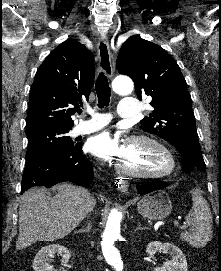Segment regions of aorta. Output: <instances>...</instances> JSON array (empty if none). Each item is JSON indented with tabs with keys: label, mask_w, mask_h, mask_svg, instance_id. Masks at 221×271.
<instances>
[{
	"label": "aorta",
	"mask_w": 221,
	"mask_h": 271,
	"mask_svg": "<svg viewBox=\"0 0 221 271\" xmlns=\"http://www.w3.org/2000/svg\"><path fill=\"white\" fill-rule=\"evenodd\" d=\"M113 90L120 95H128L133 91L134 85L128 77H116L112 82ZM122 219L121 212L118 209H112L109 213L106 228L102 235V252L107 263L115 271L123 270V262L120 252L115 247V241L120 236V222Z\"/></svg>",
	"instance_id": "762f6f07"
}]
</instances>
